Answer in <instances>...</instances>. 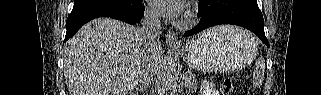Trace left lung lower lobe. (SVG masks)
Listing matches in <instances>:
<instances>
[{
	"label": "left lung lower lobe",
	"instance_id": "left-lung-lower-lobe-1",
	"mask_svg": "<svg viewBox=\"0 0 321 95\" xmlns=\"http://www.w3.org/2000/svg\"><path fill=\"white\" fill-rule=\"evenodd\" d=\"M198 15L201 17L199 23L185 36L215 25L234 24L251 30L269 47L263 28V15L256 0H200Z\"/></svg>",
	"mask_w": 321,
	"mask_h": 95
}]
</instances>
